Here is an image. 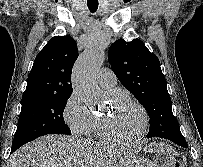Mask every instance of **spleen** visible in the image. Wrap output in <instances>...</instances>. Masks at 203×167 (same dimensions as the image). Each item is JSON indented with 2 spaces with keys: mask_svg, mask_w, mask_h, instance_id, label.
<instances>
[{
  "mask_svg": "<svg viewBox=\"0 0 203 167\" xmlns=\"http://www.w3.org/2000/svg\"><path fill=\"white\" fill-rule=\"evenodd\" d=\"M160 149L164 150L165 148L160 147ZM166 149H168V147L166 146Z\"/></svg>",
  "mask_w": 203,
  "mask_h": 167,
  "instance_id": "obj_1",
  "label": "spleen"
}]
</instances>
